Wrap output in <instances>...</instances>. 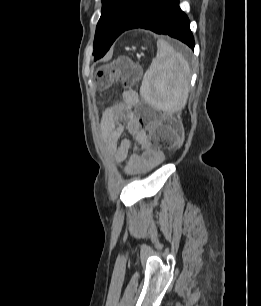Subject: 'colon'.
<instances>
[{"mask_svg": "<svg viewBox=\"0 0 261 306\" xmlns=\"http://www.w3.org/2000/svg\"><path fill=\"white\" fill-rule=\"evenodd\" d=\"M138 66L128 57H119L96 71V82L100 87H107L119 82L126 89H130L139 78ZM140 122L150 132L151 143L159 149H169L178 143V136L172 125L163 124L158 114L151 110L140 112Z\"/></svg>", "mask_w": 261, "mask_h": 306, "instance_id": "1", "label": "colon"}]
</instances>
